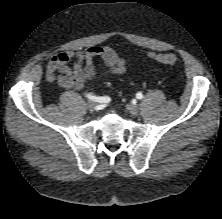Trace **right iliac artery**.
Instances as JSON below:
<instances>
[{
  "label": "right iliac artery",
  "instance_id": "1",
  "mask_svg": "<svg viewBox=\"0 0 222 219\" xmlns=\"http://www.w3.org/2000/svg\"><path fill=\"white\" fill-rule=\"evenodd\" d=\"M87 98L93 100V101H97V102H108L110 101V98L109 97H106V96H103V97H97V96H94L92 94H86Z\"/></svg>",
  "mask_w": 222,
  "mask_h": 219
}]
</instances>
